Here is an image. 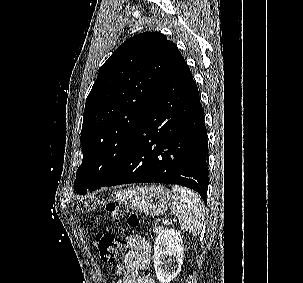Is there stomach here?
<instances>
[{"label":"stomach","instance_id":"obj_1","mask_svg":"<svg viewBox=\"0 0 303 283\" xmlns=\"http://www.w3.org/2000/svg\"><path fill=\"white\" fill-rule=\"evenodd\" d=\"M172 198L170 190L163 186H144L118 192L111 201L150 216H159L168 209ZM100 203L102 202L95 201L89 206V210L96 209Z\"/></svg>","mask_w":303,"mask_h":283}]
</instances>
